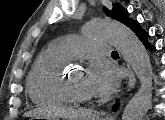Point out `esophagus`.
I'll return each instance as SVG.
<instances>
[{
	"mask_svg": "<svg viewBox=\"0 0 165 120\" xmlns=\"http://www.w3.org/2000/svg\"><path fill=\"white\" fill-rule=\"evenodd\" d=\"M136 79L133 71L129 68V76L127 81L126 89L127 91L131 90L135 85Z\"/></svg>",
	"mask_w": 165,
	"mask_h": 120,
	"instance_id": "34e87169",
	"label": "esophagus"
}]
</instances>
